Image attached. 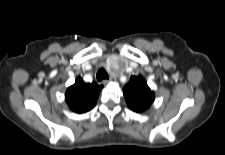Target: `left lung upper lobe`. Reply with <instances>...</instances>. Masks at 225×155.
Masks as SVG:
<instances>
[{
  "label": "left lung upper lobe",
  "mask_w": 225,
  "mask_h": 155,
  "mask_svg": "<svg viewBox=\"0 0 225 155\" xmlns=\"http://www.w3.org/2000/svg\"><path fill=\"white\" fill-rule=\"evenodd\" d=\"M123 93L129 108L137 113L149 108L155 98L142 76H131L129 83L123 88Z\"/></svg>",
  "instance_id": "5c2ea615"
}]
</instances>
